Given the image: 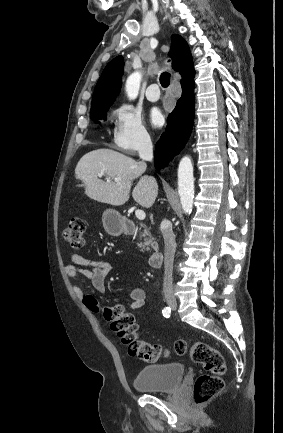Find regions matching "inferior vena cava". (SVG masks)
Listing matches in <instances>:
<instances>
[{
  "instance_id": "inferior-vena-cava-1",
  "label": "inferior vena cava",
  "mask_w": 283,
  "mask_h": 433,
  "mask_svg": "<svg viewBox=\"0 0 283 433\" xmlns=\"http://www.w3.org/2000/svg\"><path fill=\"white\" fill-rule=\"evenodd\" d=\"M140 158L143 160H152L153 158V146L151 138H145L140 148H138ZM161 233L164 239L165 245V259H164V281H163V293H173L172 275H173V261L176 251L175 235L171 227L167 229H161Z\"/></svg>"
}]
</instances>
